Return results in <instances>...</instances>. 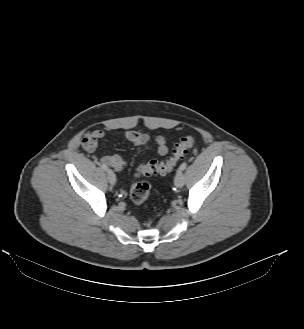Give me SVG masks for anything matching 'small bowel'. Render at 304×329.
<instances>
[{
  "mask_svg": "<svg viewBox=\"0 0 304 329\" xmlns=\"http://www.w3.org/2000/svg\"><path fill=\"white\" fill-rule=\"evenodd\" d=\"M105 136V132L101 129H96L84 135L82 147L89 153H93L98 148V142ZM125 138L135 146H144L151 140L155 143L157 154L163 156L168 152L166 140L161 135L151 137L143 131L128 130L125 132ZM101 162L110 166L115 171L120 172L126 167V161L118 154H108L101 158Z\"/></svg>",
  "mask_w": 304,
  "mask_h": 329,
  "instance_id": "c3829d8e",
  "label": "small bowel"
}]
</instances>
